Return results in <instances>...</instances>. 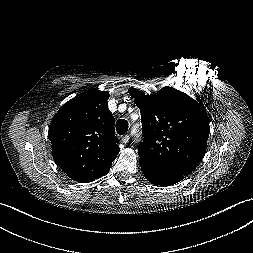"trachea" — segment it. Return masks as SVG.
I'll use <instances>...</instances> for the list:
<instances>
[{"mask_svg": "<svg viewBox=\"0 0 253 253\" xmlns=\"http://www.w3.org/2000/svg\"><path fill=\"white\" fill-rule=\"evenodd\" d=\"M128 130V121L125 119H119L116 122V131L118 134L123 135Z\"/></svg>", "mask_w": 253, "mask_h": 253, "instance_id": "obj_1", "label": "trachea"}]
</instances>
